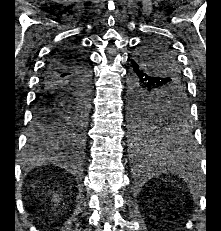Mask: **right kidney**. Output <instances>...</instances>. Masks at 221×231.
Listing matches in <instances>:
<instances>
[{
  "label": "right kidney",
  "mask_w": 221,
  "mask_h": 231,
  "mask_svg": "<svg viewBox=\"0 0 221 231\" xmlns=\"http://www.w3.org/2000/svg\"><path fill=\"white\" fill-rule=\"evenodd\" d=\"M53 201H54V202H57V201H58L57 198H56V196H54Z\"/></svg>",
  "instance_id": "right-kidney-1"
}]
</instances>
